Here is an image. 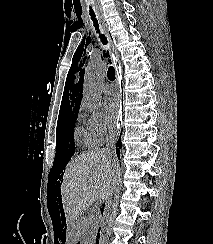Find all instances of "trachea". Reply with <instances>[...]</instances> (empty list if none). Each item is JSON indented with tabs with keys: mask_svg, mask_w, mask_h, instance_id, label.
I'll list each match as a JSON object with an SVG mask.
<instances>
[{
	"mask_svg": "<svg viewBox=\"0 0 213 244\" xmlns=\"http://www.w3.org/2000/svg\"><path fill=\"white\" fill-rule=\"evenodd\" d=\"M90 16H91V19H92V21L94 23V26H95L97 32L99 33V38H100L101 42L104 45H106L108 43L107 38H106V36L104 34H100L98 21H97V19L95 17V13H94V11L92 9H90ZM107 77H108V79L110 81H114L115 80V69H114V67H112V66L109 67V69L107 71Z\"/></svg>",
	"mask_w": 213,
	"mask_h": 244,
	"instance_id": "trachea-1",
	"label": "trachea"
}]
</instances>
